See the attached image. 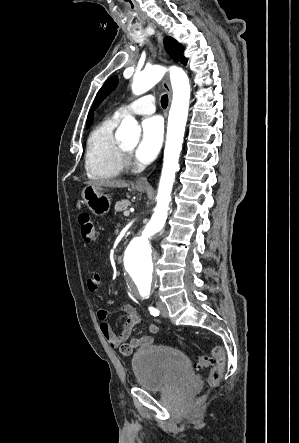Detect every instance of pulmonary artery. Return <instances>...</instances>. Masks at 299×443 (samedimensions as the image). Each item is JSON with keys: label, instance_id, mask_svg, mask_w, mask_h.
<instances>
[{"label": "pulmonary artery", "instance_id": "pulmonary-artery-1", "mask_svg": "<svg viewBox=\"0 0 299 443\" xmlns=\"http://www.w3.org/2000/svg\"><path fill=\"white\" fill-rule=\"evenodd\" d=\"M154 111H155V99L153 95L149 94L135 101H132L131 103L125 106L120 107L114 112L113 117L119 119L129 113L149 115L152 114Z\"/></svg>", "mask_w": 299, "mask_h": 443}]
</instances>
